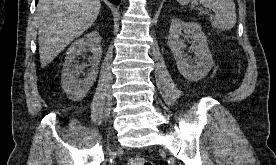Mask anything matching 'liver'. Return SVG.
<instances>
[{"label":"liver","mask_w":276,"mask_h":165,"mask_svg":"<svg viewBox=\"0 0 276 165\" xmlns=\"http://www.w3.org/2000/svg\"><path fill=\"white\" fill-rule=\"evenodd\" d=\"M100 7V0H39L37 23L42 68L94 23Z\"/></svg>","instance_id":"6515ba94"}]
</instances>
